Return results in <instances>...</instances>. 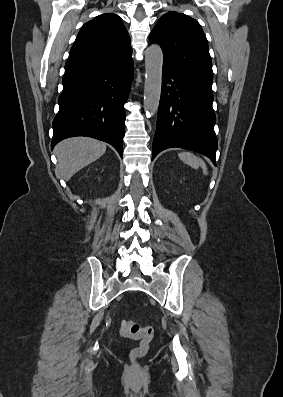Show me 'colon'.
Wrapping results in <instances>:
<instances>
[{
  "mask_svg": "<svg viewBox=\"0 0 283 397\" xmlns=\"http://www.w3.org/2000/svg\"><path fill=\"white\" fill-rule=\"evenodd\" d=\"M119 331L124 337L140 340V345L132 350L134 357H142L148 352L149 343L154 335L152 327L131 320H122L119 323Z\"/></svg>",
  "mask_w": 283,
  "mask_h": 397,
  "instance_id": "1",
  "label": "colon"
}]
</instances>
